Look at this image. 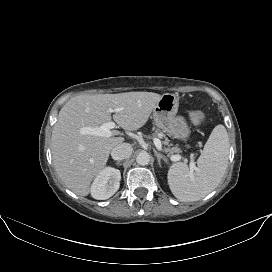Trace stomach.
Masks as SVG:
<instances>
[{
	"label": "stomach",
	"instance_id": "1",
	"mask_svg": "<svg viewBox=\"0 0 272 272\" xmlns=\"http://www.w3.org/2000/svg\"><path fill=\"white\" fill-rule=\"evenodd\" d=\"M179 99L176 95L166 93L153 109V119L157 127L178 139L186 140L190 129L183 116L177 115Z\"/></svg>",
	"mask_w": 272,
	"mask_h": 272
}]
</instances>
